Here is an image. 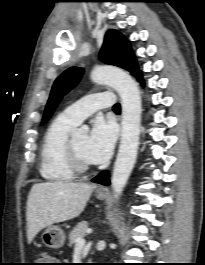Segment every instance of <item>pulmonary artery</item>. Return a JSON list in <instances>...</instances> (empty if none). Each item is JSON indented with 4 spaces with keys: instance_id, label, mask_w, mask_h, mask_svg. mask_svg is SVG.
I'll return each mask as SVG.
<instances>
[{
    "instance_id": "pulmonary-artery-1",
    "label": "pulmonary artery",
    "mask_w": 205,
    "mask_h": 265,
    "mask_svg": "<svg viewBox=\"0 0 205 265\" xmlns=\"http://www.w3.org/2000/svg\"><path fill=\"white\" fill-rule=\"evenodd\" d=\"M115 104V98L111 92H100L87 95L73 103L63 111V115L76 124L99 109L110 108Z\"/></svg>"
}]
</instances>
